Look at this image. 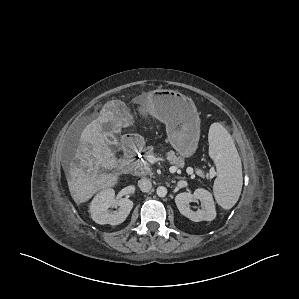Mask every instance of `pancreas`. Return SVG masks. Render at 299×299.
Returning <instances> with one entry per match:
<instances>
[{
	"label": "pancreas",
	"mask_w": 299,
	"mask_h": 299,
	"mask_svg": "<svg viewBox=\"0 0 299 299\" xmlns=\"http://www.w3.org/2000/svg\"><path fill=\"white\" fill-rule=\"evenodd\" d=\"M144 159H140L135 161L134 166V174L138 176H146L152 175V169L150 168V163L147 161L148 155H154L153 147H148L144 150ZM166 159L177 168H181L184 166V160L180 156H176L173 151H169L166 153Z\"/></svg>",
	"instance_id": "cf45deb5"
}]
</instances>
